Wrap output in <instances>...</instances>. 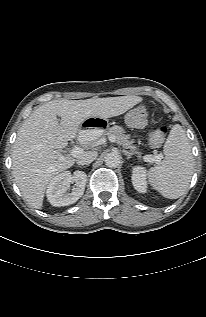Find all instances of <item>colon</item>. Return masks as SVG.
Here are the masks:
<instances>
[{"instance_id": "1", "label": "colon", "mask_w": 206, "mask_h": 317, "mask_svg": "<svg viewBox=\"0 0 206 317\" xmlns=\"http://www.w3.org/2000/svg\"><path fill=\"white\" fill-rule=\"evenodd\" d=\"M125 121L128 126L134 128H140L146 125L148 121V111L145 107L139 106L129 111L125 116ZM167 134V128L165 126L155 129L150 134V143L154 147H158L162 144Z\"/></svg>"}]
</instances>
